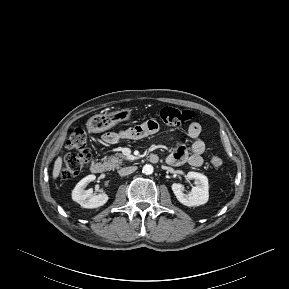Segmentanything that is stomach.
Returning a JSON list of instances; mask_svg holds the SVG:
<instances>
[{"mask_svg":"<svg viewBox=\"0 0 289 289\" xmlns=\"http://www.w3.org/2000/svg\"><path fill=\"white\" fill-rule=\"evenodd\" d=\"M130 117L131 110L122 109L111 113L95 115L87 121L86 125L89 132L100 133L114 127L120 122L129 120Z\"/></svg>","mask_w":289,"mask_h":289,"instance_id":"1","label":"stomach"}]
</instances>
